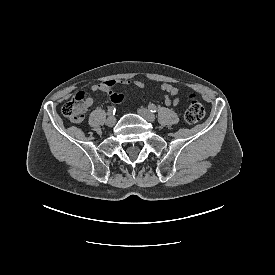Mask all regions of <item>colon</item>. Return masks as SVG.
Masks as SVG:
<instances>
[{"mask_svg":"<svg viewBox=\"0 0 275 275\" xmlns=\"http://www.w3.org/2000/svg\"><path fill=\"white\" fill-rule=\"evenodd\" d=\"M188 107L185 111V120L189 124L197 123L204 116L205 110L203 104L193 93L187 95ZM88 104V97L85 92L76 93L62 107L63 115L74 123H79L85 118Z\"/></svg>","mask_w":275,"mask_h":275,"instance_id":"5ec220e1","label":"colon"}]
</instances>
